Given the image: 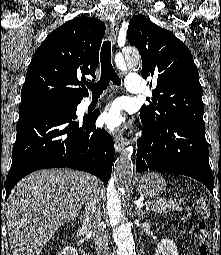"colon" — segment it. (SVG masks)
<instances>
[{"label":"colon","instance_id":"colon-1","mask_svg":"<svg viewBox=\"0 0 221 255\" xmlns=\"http://www.w3.org/2000/svg\"><path fill=\"white\" fill-rule=\"evenodd\" d=\"M197 210L202 219H207L210 216V204L208 199L200 198L197 201ZM198 245L197 255H210L211 232L205 221L198 224Z\"/></svg>","mask_w":221,"mask_h":255}]
</instances>
